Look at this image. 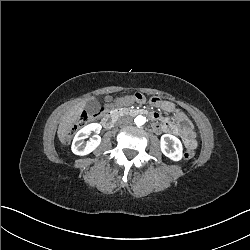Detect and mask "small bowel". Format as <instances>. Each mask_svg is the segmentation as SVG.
Returning a JSON list of instances; mask_svg holds the SVG:
<instances>
[{
    "mask_svg": "<svg viewBox=\"0 0 250 250\" xmlns=\"http://www.w3.org/2000/svg\"><path fill=\"white\" fill-rule=\"evenodd\" d=\"M132 101H133L132 96L120 97V98H116V99H113L111 97H107L106 105L108 107H112L114 105H128ZM157 103L165 111H172L174 109V104L169 102V101H158ZM179 119L183 122V126L182 127L179 126V129H180L181 133L186 137V139L188 137H191L192 139L195 140V134L193 132L191 123L183 115H180ZM166 128H168V129H170V128L171 129H177L178 127L176 125L160 124L159 122H156L153 125V129L156 132L162 131V130H164Z\"/></svg>",
    "mask_w": 250,
    "mask_h": 250,
    "instance_id": "1",
    "label": "small bowel"
}]
</instances>
